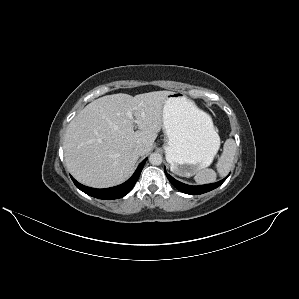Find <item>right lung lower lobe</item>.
Masks as SVG:
<instances>
[{
	"label": "right lung lower lobe",
	"mask_w": 299,
	"mask_h": 299,
	"mask_svg": "<svg viewBox=\"0 0 299 299\" xmlns=\"http://www.w3.org/2000/svg\"><path fill=\"white\" fill-rule=\"evenodd\" d=\"M147 158L144 159L138 166L137 170L135 173L132 175V177L127 180L125 183L111 187V188H106V189H95V188H90L86 187L80 183H78L74 178H72L74 184L79 188L81 191L84 193L98 198V199H105V200H112V199H118L124 197L126 194L130 192V190L133 188L135 185L136 181L138 180L140 173L143 169V166L146 162Z\"/></svg>",
	"instance_id": "right-lung-lower-lobe-1"
}]
</instances>
